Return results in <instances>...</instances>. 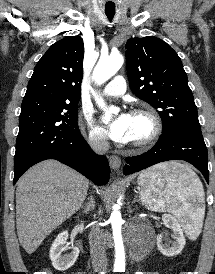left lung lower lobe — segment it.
Here are the masks:
<instances>
[{
    "label": "left lung lower lobe",
    "mask_w": 215,
    "mask_h": 274,
    "mask_svg": "<svg viewBox=\"0 0 215 274\" xmlns=\"http://www.w3.org/2000/svg\"><path fill=\"white\" fill-rule=\"evenodd\" d=\"M184 160L194 165L209 183L207 148L202 133L173 130L161 135L149 151L126 158L125 175L168 160Z\"/></svg>",
    "instance_id": "obj_1"
}]
</instances>
